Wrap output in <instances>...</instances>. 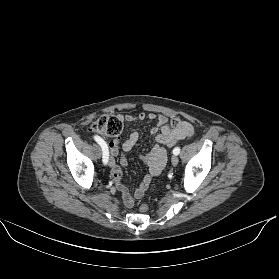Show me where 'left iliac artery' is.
Listing matches in <instances>:
<instances>
[{"mask_svg":"<svg viewBox=\"0 0 279 279\" xmlns=\"http://www.w3.org/2000/svg\"><path fill=\"white\" fill-rule=\"evenodd\" d=\"M180 153V148L179 147H175L174 149H173V154L174 155H178Z\"/></svg>","mask_w":279,"mask_h":279,"instance_id":"44dca946","label":"left iliac artery"}]
</instances>
